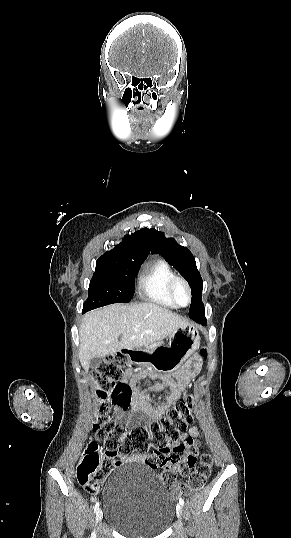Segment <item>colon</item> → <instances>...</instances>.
Returning a JSON list of instances; mask_svg holds the SVG:
<instances>
[{"label":"colon","instance_id":"5ec220e1","mask_svg":"<svg viewBox=\"0 0 291 538\" xmlns=\"http://www.w3.org/2000/svg\"><path fill=\"white\" fill-rule=\"evenodd\" d=\"M207 355L205 350L201 351ZM128 365L125 353L108 356L96 372L97 417L93 423L95 441L84 450L83 457L76 468L79 484L88 492H97L105 478L120 466L119 456L145 454L150 447L155 450L148 463L161 469L163 483L178 494L198 491L207 481L212 468L210 455L204 454L198 460L196 454L189 453L184 444H178L192 418L193 397L185 394L159 418L147 426L136 425L127 431L123 426L108 417L109 399L113 405L122 409L131 403L130 387L122 383L124 370ZM103 444L102 450L98 443ZM187 465L192 473L186 481L178 480V465Z\"/></svg>","mask_w":291,"mask_h":538}]
</instances>
